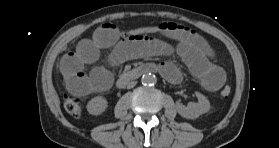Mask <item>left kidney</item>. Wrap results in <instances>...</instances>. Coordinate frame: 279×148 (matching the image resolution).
I'll use <instances>...</instances> for the list:
<instances>
[{"instance_id":"5707ae66","label":"left kidney","mask_w":279,"mask_h":148,"mask_svg":"<svg viewBox=\"0 0 279 148\" xmlns=\"http://www.w3.org/2000/svg\"><path fill=\"white\" fill-rule=\"evenodd\" d=\"M198 102H190L187 106L183 105L180 102L176 103L177 112L184 118L187 119H196L200 115L205 114L210 109V102L206 96L199 92H195Z\"/></svg>"}]
</instances>
